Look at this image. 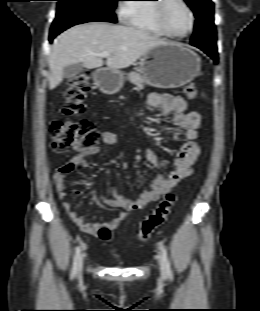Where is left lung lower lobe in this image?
<instances>
[{
    "label": "left lung lower lobe",
    "instance_id": "0a47b994",
    "mask_svg": "<svg viewBox=\"0 0 260 311\" xmlns=\"http://www.w3.org/2000/svg\"><path fill=\"white\" fill-rule=\"evenodd\" d=\"M195 47H198L200 48L201 50H203L208 56H210L215 63L218 62V52H217V48L216 47H206V46H203V45H200V44H196V45H193Z\"/></svg>",
    "mask_w": 260,
    "mask_h": 311
}]
</instances>
